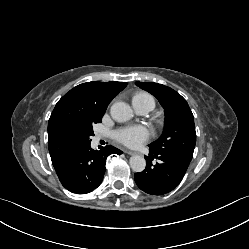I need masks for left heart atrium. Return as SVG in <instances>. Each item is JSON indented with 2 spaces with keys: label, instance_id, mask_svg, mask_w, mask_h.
<instances>
[{
  "label": "left heart atrium",
  "instance_id": "1",
  "mask_svg": "<svg viewBox=\"0 0 249 249\" xmlns=\"http://www.w3.org/2000/svg\"><path fill=\"white\" fill-rule=\"evenodd\" d=\"M149 130L145 126H128L114 133L115 139L129 147H137L148 140Z\"/></svg>",
  "mask_w": 249,
  "mask_h": 249
}]
</instances>
